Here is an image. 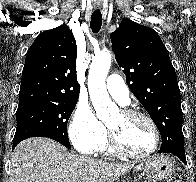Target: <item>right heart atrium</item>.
Instances as JSON below:
<instances>
[{
    "mask_svg": "<svg viewBox=\"0 0 196 182\" xmlns=\"http://www.w3.org/2000/svg\"><path fill=\"white\" fill-rule=\"evenodd\" d=\"M69 136L73 145L81 152L93 154L102 149L106 143V129L97 119L92 108L79 102L71 116Z\"/></svg>",
    "mask_w": 196,
    "mask_h": 182,
    "instance_id": "1",
    "label": "right heart atrium"
}]
</instances>
